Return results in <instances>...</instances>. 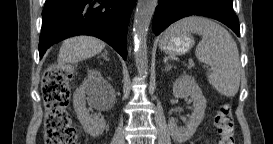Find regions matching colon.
I'll use <instances>...</instances> for the list:
<instances>
[{"mask_svg": "<svg viewBox=\"0 0 273 144\" xmlns=\"http://www.w3.org/2000/svg\"><path fill=\"white\" fill-rule=\"evenodd\" d=\"M73 71L64 66L51 65L42 73V95L46 107L45 144H75L77 131L68 112L69 81ZM219 144H235V129L230 103L219 106L215 116Z\"/></svg>", "mask_w": 273, "mask_h": 144, "instance_id": "5ec220e1", "label": "colon"}]
</instances>
